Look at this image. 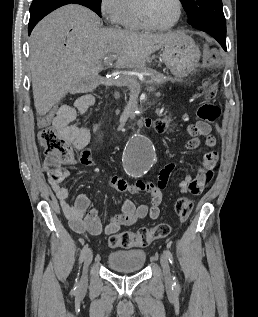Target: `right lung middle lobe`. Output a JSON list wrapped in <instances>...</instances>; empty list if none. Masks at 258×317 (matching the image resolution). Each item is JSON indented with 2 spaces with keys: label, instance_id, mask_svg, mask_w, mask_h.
Here are the masks:
<instances>
[{
  "label": "right lung middle lobe",
  "instance_id": "1",
  "mask_svg": "<svg viewBox=\"0 0 258 317\" xmlns=\"http://www.w3.org/2000/svg\"><path fill=\"white\" fill-rule=\"evenodd\" d=\"M91 1L97 7V9L101 11V0H91Z\"/></svg>",
  "mask_w": 258,
  "mask_h": 317
}]
</instances>
